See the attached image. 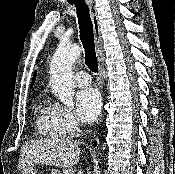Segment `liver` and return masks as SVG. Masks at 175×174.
Segmentation results:
<instances>
[{"instance_id": "liver-1", "label": "liver", "mask_w": 175, "mask_h": 174, "mask_svg": "<svg viewBox=\"0 0 175 174\" xmlns=\"http://www.w3.org/2000/svg\"><path fill=\"white\" fill-rule=\"evenodd\" d=\"M78 141L64 138L29 141L21 149L18 168L24 170L37 163L69 168L79 161Z\"/></svg>"}]
</instances>
